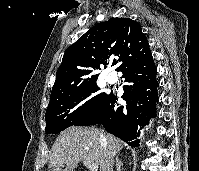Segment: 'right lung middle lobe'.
<instances>
[{
  "instance_id": "1",
  "label": "right lung middle lobe",
  "mask_w": 199,
  "mask_h": 171,
  "mask_svg": "<svg viewBox=\"0 0 199 171\" xmlns=\"http://www.w3.org/2000/svg\"><path fill=\"white\" fill-rule=\"evenodd\" d=\"M98 91L96 82H92L49 105L45 113V132L59 133L95 109L107 96L106 93Z\"/></svg>"
}]
</instances>
